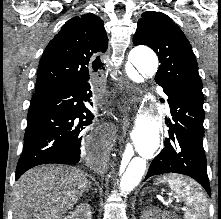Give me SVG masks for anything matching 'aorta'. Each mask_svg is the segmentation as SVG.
<instances>
[{"instance_id":"obj_1","label":"aorta","mask_w":221,"mask_h":219,"mask_svg":"<svg viewBox=\"0 0 221 219\" xmlns=\"http://www.w3.org/2000/svg\"><path fill=\"white\" fill-rule=\"evenodd\" d=\"M128 60L136 67L142 76H153L158 69V58L148 47H135L128 56ZM161 124L156 115L144 113L136 120L134 130V144L127 148L116 169V183L118 195L127 196L141 181L147 160L159 147Z\"/></svg>"}]
</instances>
